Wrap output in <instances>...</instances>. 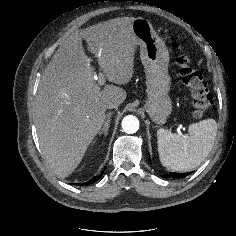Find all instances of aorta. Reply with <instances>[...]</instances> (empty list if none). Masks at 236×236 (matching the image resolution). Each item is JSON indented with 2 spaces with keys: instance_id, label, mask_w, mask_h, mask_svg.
I'll return each mask as SVG.
<instances>
[{
  "instance_id": "aorta-1",
  "label": "aorta",
  "mask_w": 236,
  "mask_h": 236,
  "mask_svg": "<svg viewBox=\"0 0 236 236\" xmlns=\"http://www.w3.org/2000/svg\"><path fill=\"white\" fill-rule=\"evenodd\" d=\"M122 129L127 134H134L139 129V120L133 115H127L121 123Z\"/></svg>"
}]
</instances>
